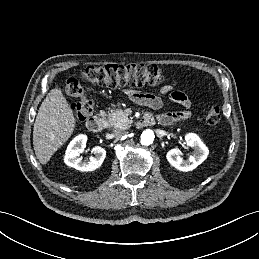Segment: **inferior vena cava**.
<instances>
[{"instance_id":"obj_1","label":"inferior vena cava","mask_w":259,"mask_h":259,"mask_svg":"<svg viewBox=\"0 0 259 259\" xmlns=\"http://www.w3.org/2000/svg\"><path fill=\"white\" fill-rule=\"evenodd\" d=\"M127 131H125L124 129H118V130H115L114 132V136L118 139L120 138H123L127 135Z\"/></svg>"}]
</instances>
